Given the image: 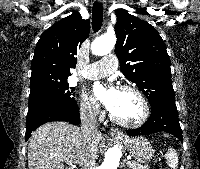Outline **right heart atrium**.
Listing matches in <instances>:
<instances>
[{
    "instance_id": "right-heart-atrium-1",
    "label": "right heart atrium",
    "mask_w": 200,
    "mask_h": 169,
    "mask_svg": "<svg viewBox=\"0 0 200 169\" xmlns=\"http://www.w3.org/2000/svg\"><path fill=\"white\" fill-rule=\"evenodd\" d=\"M79 113L82 118L89 121H98L103 118V112L99 105L87 95H82L80 97Z\"/></svg>"
}]
</instances>
